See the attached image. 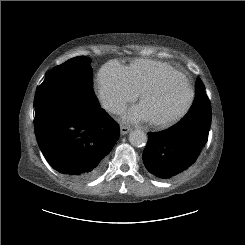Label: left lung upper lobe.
Wrapping results in <instances>:
<instances>
[{"instance_id": "5c2ea615", "label": "left lung upper lobe", "mask_w": 245, "mask_h": 245, "mask_svg": "<svg viewBox=\"0 0 245 245\" xmlns=\"http://www.w3.org/2000/svg\"><path fill=\"white\" fill-rule=\"evenodd\" d=\"M196 95L188 113L177 123L179 126L210 124V105L204 87L196 80Z\"/></svg>"}]
</instances>
